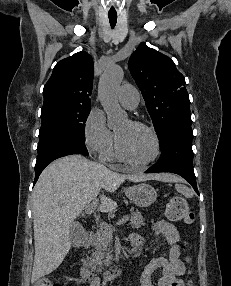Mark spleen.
Instances as JSON below:
<instances>
[{
	"label": "spleen",
	"instance_id": "spleen-1",
	"mask_svg": "<svg viewBox=\"0 0 231 286\" xmlns=\"http://www.w3.org/2000/svg\"><path fill=\"white\" fill-rule=\"evenodd\" d=\"M175 188L176 190L181 193L182 195H184L187 198H191L193 197V192L191 189H189L187 186L183 185V184H179L176 183L175 184Z\"/></svg>",
	"mask_w": 231,
	"mask_h": 286
}]
</instances>
